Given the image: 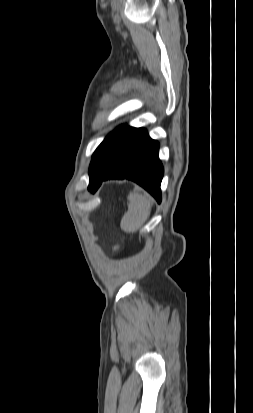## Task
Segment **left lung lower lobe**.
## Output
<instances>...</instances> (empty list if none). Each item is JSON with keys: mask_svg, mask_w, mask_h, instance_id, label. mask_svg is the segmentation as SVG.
I'll use <instances>...</instances> for the list:
<instances>
[{"mask_svg": "<svg viewBox=\"0 0 253 413\" xmlns=\"http://www.w3.org/2000/svg\"><path fill=\"white\" fill-rule=\"evenodd\" d=\"M121 138L107 161L90 175L89 189L95 192L102 181L130 179L161 202L163 166L158 157L159 143L145 129L121 126Z\"/></svg>", "mask_w": 253, "mask_h": 413, "instance_id": "0a47b994", "label": "left lung lower lobe"}]
</instances>
